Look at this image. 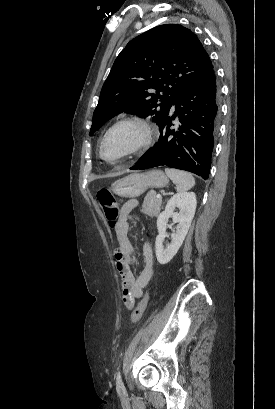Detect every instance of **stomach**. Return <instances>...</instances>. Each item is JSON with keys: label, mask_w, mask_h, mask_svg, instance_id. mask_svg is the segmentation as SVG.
I'll use <instances>...</instances> for the list:
<instances>
[{"label": "stomach", "mask_w": 275, "mask_h": 409, "mask_svg": "<svg viewBox=\"0 0 275 409\" xmlns=\"http://www.w3.org/2000/svg\"><path fill=\"white\" fill-rule=\"evenodd\" d=\"M169 180L162 170H149V172H134L125 178H120L112 184V190L118 196H126V198H134L145 192L150 186L154 188H162L166 186Z\"/></svg>", "instance_id": "0dacf381"}]
</instances>
